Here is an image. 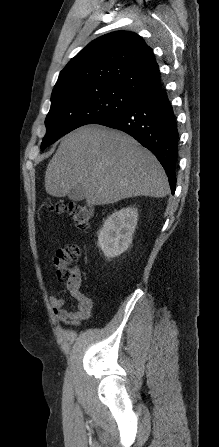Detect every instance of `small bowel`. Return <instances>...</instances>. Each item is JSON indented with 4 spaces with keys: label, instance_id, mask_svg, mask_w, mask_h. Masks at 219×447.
Returning <instances> with one entry per match:
<instances>
[{
    "label": "small bowel",
    "instance_id": "obj_1",
    "mask_svg": "<svg viewBox=\"0 0 219 447\" xmlns=\"http://www.w3.org/2000/svg\"><path fill=\"white\" fill-rule=\"evenodd\" d=\"M81 278L76 285L67 284L71 296L77 301V309L70 311L64 306V300L60 297L53 296L50 298V304L53 313L58 320L68 325H77L81 321L87 320L93 308L91 298L83 294L80 290Z\"/></svg>",
    "mask_w": 219,
    "mask_h": 447
}]
</instances>
